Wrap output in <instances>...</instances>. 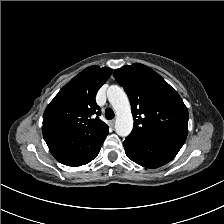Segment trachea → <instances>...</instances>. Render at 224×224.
<instances>
[{"label": "trachea", "mask_w": 224, "mask_h": 224, "mask_svg": "<svg viewBox=\"0 0 224 224\" xmlns=\"http://www.w3.org/2000/svg\"><path fill=\"white\" fill-rule=\"evenodd\" d=\"M105 117H106V119H108V120H111V119L114 118V112H113V110H112L111 108H107V109L105 110Z\"/></svg>", "instance_id": "1"}]
</instances>
